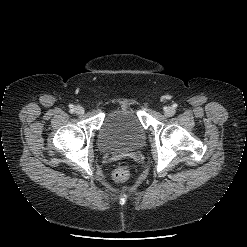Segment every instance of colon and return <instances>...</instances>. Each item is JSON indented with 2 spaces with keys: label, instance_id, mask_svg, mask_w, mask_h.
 Segmentation results:
<instances>
[{
  "label": "colon",
  "instance_id": "1",
  "mask_svg": "<svg viewBox=\"0 0 247 247\" xmlns=\"http://www.w3.org/2000/svg\"><path fill=\"white\" fill-rule=\"evenodd\" d=\"M129 177V168L126 165H119L113 171V179L117 183L125 182Z\"/></svg>",
  "mask_w": 247,
  "mask_h": 247
}]
</instances>
